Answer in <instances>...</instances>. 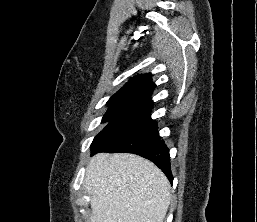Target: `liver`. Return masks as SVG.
I'll return each mask as SVG.
<instances>
[{"instance_id": "obj_1", "label": "liver", "mask_w": 257, "mask_h": 222, "mask_svg": "<svg viewBox=\"0 0 257 222\" xmlns=\"http://www.w3.org/2000/svg\"><path fill=\"white\" fill-rule=\"evenodd\" d=\"M84 186L90 196V222H163L171 200L164 173L134 154H96Z\"/></svg>"}]
</instances>
